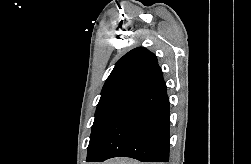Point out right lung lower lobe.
<instances>
[{
    "mask_svg": "<svg viewBox=\"0 0 251 164\" xmlns=\"http://www.w3.org/2000/svg\"><path fill=\"white\" fill-rule=\"evenodd\" d=\"M169 98L161 82L140 96L110 126L87 162L125 156L141 162L169 160Z\"/></svg>",
    "mask_w": 251,
    "mask_h": 164,
    "instance_id": "1",
    "label": "right lung lower lobe"
}]
</instances>
